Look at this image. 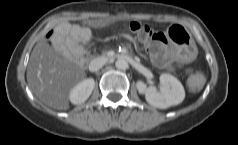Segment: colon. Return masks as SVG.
<instances>
[{"label": "colon", "mask_w": 238, "mask_h": 145, "mask_svg": "<svg viewBox=\"0 0 238 145\" xmlns=\"http://www.w3.org/2000/svg\"><path fill=\"white\" fill-rule=\"evenodd\" d=\"M128 28L138 36L156 63H164L166 61L167 39L162 32L138 22H131L128 24ZM204 83L205 79L201 73H194L189 79V87L192 91H199Z\"/></svg>", "instance_id": "colon-1"}]
</instances>
